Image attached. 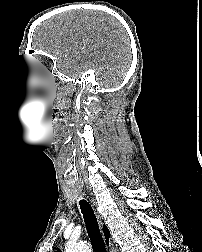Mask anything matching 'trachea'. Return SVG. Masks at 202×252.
<instances>
[{
	"label": "trachea",
	"instance_id": "obj_1",
	"mask_svg": "<svg viewBox=\"0 0 202 252\" xmlns=\"http://www.w3.org/2000/svg\"><path fill=\"white\" fill-rule=\"evenodd\" d=\"M79 205L94 251L106 252L104 240L99 230L97 218L91 205L84 199L79 201Z\"/></svg>",
	"mask_w": 202,
	"mask_h": 252
}]
</instances>
